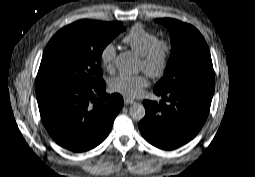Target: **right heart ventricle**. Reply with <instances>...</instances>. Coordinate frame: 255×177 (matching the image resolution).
Here are the masks:
<instances>
[{
  "instance_id": "right-heart-ventricle-1",
  "label": "right heart ventricle",
  "mask_w": 255,
  "mask_h": 177,
  "mask_svg": "<svg viewBox=\"0 0 255 177\" xmlns=\"http://www.w3.org/2000/svg\"><path fill=\"white\" fill-rule=\"evenodd\" d=\"M158 38L155 32L137 24L123 37V42L136 54L142 56Z\"/></svg>"
}]
</instances>
